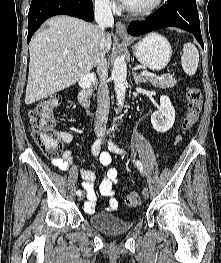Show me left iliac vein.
<instances>
[{"label": "left iliac vein", "mask_w": 221, "mask_h": 263, "mask_svg": "<svg viewBox=\"0 0 221 263\" xmlns=\"http://www.w3.org/2000/svg\"><path fill=\"white\" fill-rule=\"evenodd\" d=\"M142 195L145 199H148L149 197V190L147 187H144L143 190H142Z\"/></svg>", "instance_id": "1"}]
</instances>
